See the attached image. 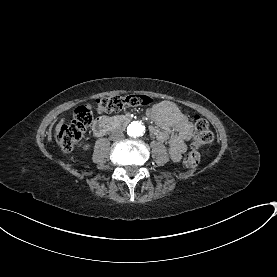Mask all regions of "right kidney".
Returning <instances> with one entry per match:
<instances>
[{"mask_svg":"<svg viewBox=\"0 0 277 277\" xmlns=\"http://www.w3.org/2000/svg\"><path fill=\"white\" fill-rule=\"evenodd\" d=\"M91 147H92L91 143H85V144L82 145L81 150L83 152H87V151H89L91 149Z\"/></svg>","mask_w":277,"mask_h":277,"instance_id":"obj_1","label":"right kidney"}]
</instances>
